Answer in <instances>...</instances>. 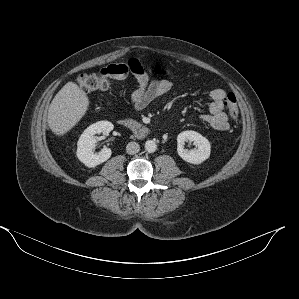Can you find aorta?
<instances>
[{
    "mask_svg": "<svg viewBox=\"0 0 299 299\" xmlns=\"http://www.w3.org/2000/svg\"><path fill=\"white\" fill-rule=\"evenodd\" d=\"M157 149V144L154 140H148L145 142V150L149 153L155 152Z\"/></svg>",
    "mask_w": 299,
    "mask_h": 299,
    "instance_id": "obj_1",
    "label": "aorta"
}]
</instances>
